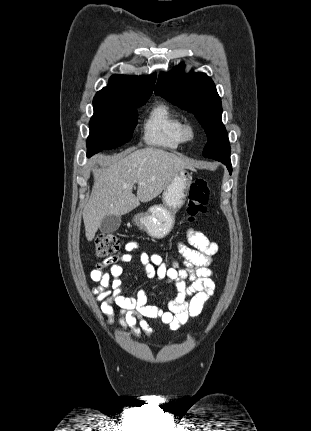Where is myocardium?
I'll return each mask as SVG.
<instances>
[{
	"mask_svg": "<svg viewBox=\"0 0 311 431\" xmlns=\"http://www.w3.org/2000/svg\"><path fill=\"white\" fill-rule=\"evenodd\" d=\"M199 125L195 121H186L182 125V133L187 141L194 140L199 135Z\"/></svg>",
	"mask_w": 311,
	"mask_h": 431,
	"instance_id": "1",
	"label": "myocardium"
}]
</instances>
